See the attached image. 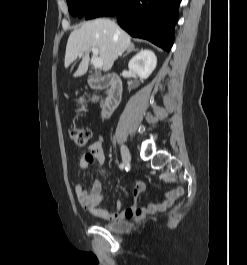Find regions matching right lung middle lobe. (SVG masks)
Masks as SVG:
<instances>
[{
	"label": "right lung middle lobe",
	"mask_w": 247,
	"mask_h": 265,
	"mask_svg": "<svg viewBox=\"0 0 247 265\" xmlns=\"http://www.w3.org/2000/svg\"><path fill=\"white\" fill-rule=\"evenodd\" d=\"M104 0H67L68 10L74 17H83L88 11Z\"/></svg>",
	"instance_id": "1"
}]
</instances>
